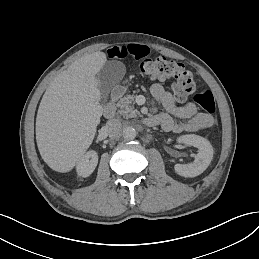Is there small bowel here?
<instances>
[{
  "label": "small bowel",
  "mask_w": 259,
  "mask_h": 259,
  "mask_svg": "<svg viewBox=\"0 0 259 259\" xmlns=\"http://www.w3.org/2000/svg\"><path fill=\"white\" fill-rule=\"evenodd\" d=\"M149 54V47L143 44H121L109 48L106 55L109 59L119 60L132 57L142 59ZM152 96L163 106L165 112L156 116L157 124L166 132H196L213 126L214 117L208 113L199 112L195 103L189 101L182 105L170 91L161 84L154 83L150 87Z\"/></svg>",
  "instance_id": "obj_1"
}]
</instances>
